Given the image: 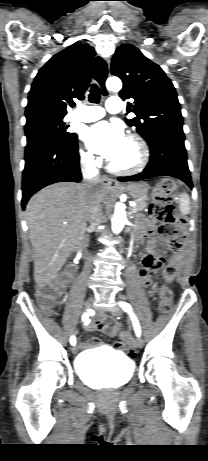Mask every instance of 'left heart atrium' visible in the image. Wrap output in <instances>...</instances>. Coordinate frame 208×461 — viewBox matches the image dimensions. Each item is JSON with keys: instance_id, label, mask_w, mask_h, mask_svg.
<instances>
[{"instance_id": "39dd6f15", "label": "left heart atrium", "mask_w": 208, "mask_h": 461, "mask_svg": "<svg viewBox=\"0 0 208 461\" xmlns=\"http://www.w3.org/2000/svg\"><path fill=\"white\" fill-rule=\"evenodd\" d=\"M84 140L93 152L111 160L119 154L126 138L119 126L99 122L85 131Z\"/></svg>"}]
</instances>
